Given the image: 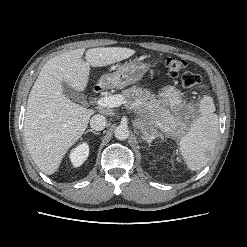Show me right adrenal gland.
<instances>
[{
    "label": "right adrenal gland",
    "mask_w": 247,
    "mask_h": 247,
    "mask_svg": "<svg viewBox=\"0 0 247 247\" xmlns=\"http://www.w3.org/2000/svg\"><path fill=\"white\" fill-rule=\"evenodd\" d=\"M88 132H92V133H94L95 135H99V134H100L99 132H96V131L93 130V129H88V130H86V131H85V134L88 133Z\"/></svg>",
    "instance_id": "right-adrenal-gland-1"
}]
</instances>
